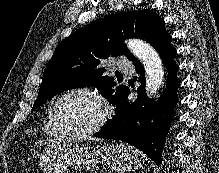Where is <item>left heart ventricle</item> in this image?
Segmentation results:
<instances>
[{
  "label": "left heart ventricle",
  "instance_id": "1",
  "mask_svg": "<svg viewBox=\"0 0 219 173\" xmlns=\"http://www.w3.org/2000/svg\"><path fill=\"white\" fill-rule=\"evenodd\" d=\"M103 113L102 105L87 94H73L59 105L58 115L62 125L72 131H80L94 125Z\"/></svg>",
  "mask_w": 219,
  "mask_h": 173
}]
</instances>
